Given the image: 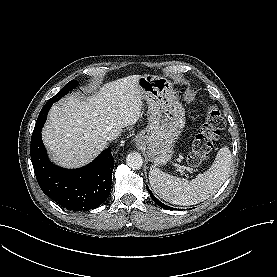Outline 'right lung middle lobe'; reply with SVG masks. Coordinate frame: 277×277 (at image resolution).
Listing matches in <instances>:
<instances>
[{"label": "right lung middle lobe", "mask_w": 277, "mask_h": 277, "mask_svg": "<svg viewBox=\"0 0 277 277\" xmlns=\"http://www.w3.org/2000/svg\"><path fill=\"white\" fill-rule=\"evenodd\" d=\"M77 84H78V83H77V81H75V80L70 81L69 83H67L66 86H64V87L61 89V91H59L54 97H52L51 99H49L48 102L54 103V102L58 101V100L61 99L64 95H66L69 91L73 90V89L76 87Z\"/></svg>", "instance_id": "right-lung-middle-lobe-1"}]
</instances>
